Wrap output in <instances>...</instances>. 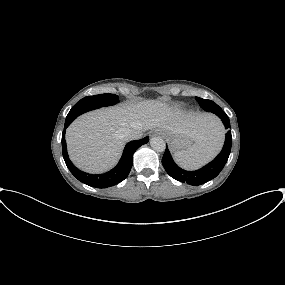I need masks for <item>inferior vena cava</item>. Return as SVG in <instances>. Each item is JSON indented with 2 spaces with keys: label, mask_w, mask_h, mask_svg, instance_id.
<instances>
[{
  "label": "inferior vena cava",
  "mask_w": 285,
  "mask_h": 285,
  "mask_svg": "<svg viewBox=\"0 0 285 285\" xmlns=\"http://www.w3.org/2000/svg\"><path fill=\"white\" fill-rule=\"evenodd\" d=\"M143 132L141 130L128 129L124 132V137L127 140H137L142 138Z\"/></svg>",
  "instance_id": "1"
}]
</instances>
